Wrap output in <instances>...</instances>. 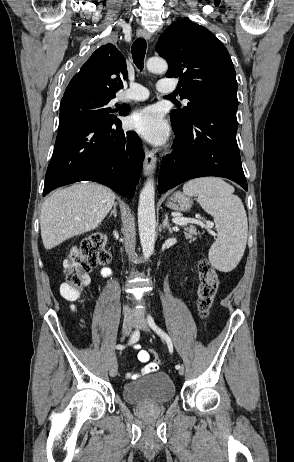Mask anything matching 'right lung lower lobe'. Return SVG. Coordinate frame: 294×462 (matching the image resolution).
Listing matches in <instances>:
<instances>
[{
    "mask_svg": "<svg viewBox=\"0 0 294 462\" xmlns=\"http://www.w3.org/2000/svg\"><path fill=\"white\" fill-rule=\"evenodd\" d=\"M143 160L139 137L135 132H124L119 119L62 127L46 172L43 196L60 186L94 181L133 197Z\"/></svg>",
    "mask_w": 294,
    "mask_h": 462,
    "instance_id": "1",
    "label": "right lung lower lobe"
}]
</instances>
